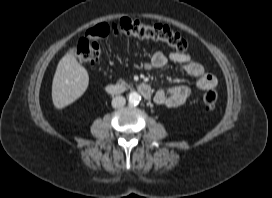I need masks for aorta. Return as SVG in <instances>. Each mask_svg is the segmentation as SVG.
Returning <instances> with one entry per match:
<instances>
[{"label": "aorta", "instance_id": "1", "mask_svg": "<svg viewBox=\"0 0 272 198\" xmlns=\"http://www.w3.org/2000/svg\"><path fill=\"white\" fill-rule=\"evenodd\" d=\"M128 101L130 104L137 105L141 101V96L137 92H131L129 93Z\"/></svg>", "mask_w": 272, "mask_h": 198}]
</instances>
